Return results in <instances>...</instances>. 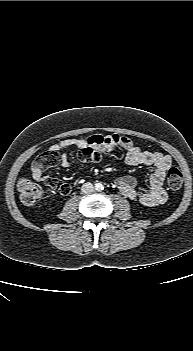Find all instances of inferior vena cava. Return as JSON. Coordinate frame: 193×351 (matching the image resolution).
Returning <instances> with one entry per match:
<instances>
[{
	"mask_svg": "<svg viewBox=\"0 0 193 351\" xmlns=\"http://www.w3.org/2000/svg\"><path fill=\"white\" fill-rule=\"evenodd\" d=\"M93 190H94V186L90 182L84 183L81 187V191L84 194L91 193Z\"/></svg>",
	"mask_w": 193,
	"mask_h": 351,
	"instance_id": "1",
	"label": "inferior vena cava"
}]
</instances>
